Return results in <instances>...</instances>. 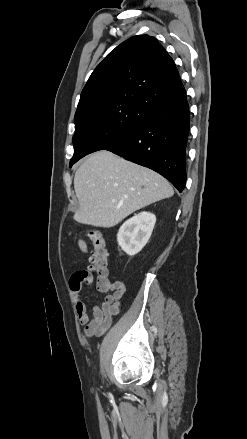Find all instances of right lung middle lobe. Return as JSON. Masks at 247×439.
<instances>
[{
  "label": "right lung middle lobe",
  "mask_w": 247,
  "mask_h": 439,
  "mask_svg": "<svg viewBox=\"0 0 247 439\" xmlns=\"http://www.w3.org/2000/svg\"><path fill=\"white\" fill-rule=\"evenodd\" d=\"M149 110L138 102L114 100L75 114L70 166L87 154L118 143L145 119Z\"/></svg>",
  "instance_id": "obj_1"
}]
</instances>
